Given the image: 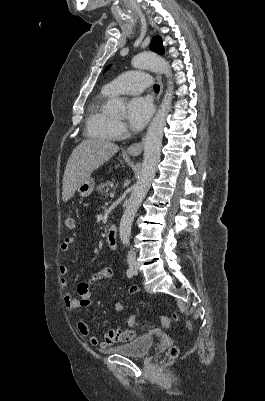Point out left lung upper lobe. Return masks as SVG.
Instances as JSON below:
<instances>
[{"instance_id": "left-lung-upper-lobe-1", "label": "left lung upper lobe", "mask_w": 265, "mask_h": 401, "mask_svg": "<svg viewBox=\"0 0 265 401\" xmlns=\"http://www.w3.org/2000/svg\"><path fill=\"white\" fill-rule=\"evenodd\" d=\"M150 49L158 54L164 53V48L162 46V39L160 37H154L150 44ZM109 66L105 69L107 70Z\"/></svg>"}]
</instances>
